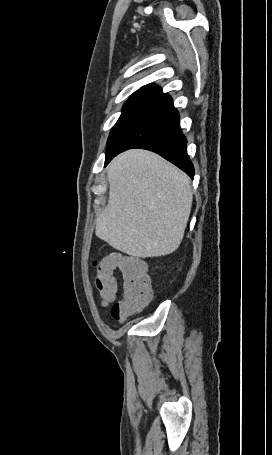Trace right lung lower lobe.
<instances>
[{
	"instance_id": "98d812e1",
	"label": "right lung lower lobe",
	"mask_w": 272,
	"mask_h": 455,
	"mask_svg": "<svg viewBox=\"0 0 272 455\" xmlns=\"http://www.w3.org/2000/svg\"><path fill=\"white\" fill-rule=\"evenodd\" d=\"M179 118L173 103L166 105L130 130L106 152L105 166L120 152L143 148L158 153L193 178L194 167L187 155V140L181 132Z\"/></svg>"
}]
</instances>
